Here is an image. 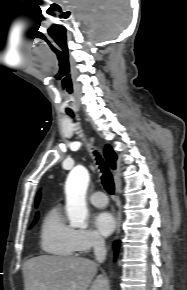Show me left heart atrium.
<instances>
[{
	"label": "left heart atrium",
	"mask_w": 187,
	"mask_h": 290,
	"mask_svg": "<svg viewBox=\"0 0 187 290\" xmlns=\"http://www.w3.org/2000/svg\"><path fill=\"white\" fill-rule=\"evenodd\" d=\"M93 224L100 234L107 236L114 230L116 222L110 212L102 211L94 216Z\"/></svg>",
	"instance_id": "obj_1"
}]
</instances>
